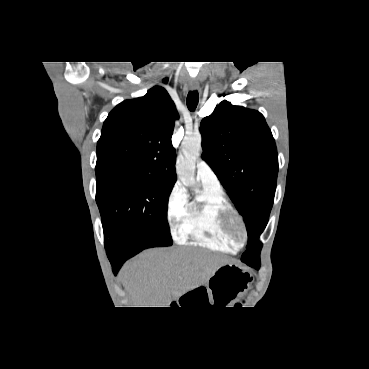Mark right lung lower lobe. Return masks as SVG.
Masks as SVG:
<instances>
[{
	"label": "right lung lower lobe",
	"mask_w": 369,
	"mask_h": 369,
	"mask_svg": "<svg viewBox=\"0 0 369 369\" xmlns=\"http://www.w3.org/2000/svg\"><path fill=\"white\" fill-rule=\"evenodd\" d=\"M106 250L115 274L128 258L140 252V250L135 249L132 245L127 243L107 247Z\"/></svg>",
	"instance_id": "1"
}]
</instances>
